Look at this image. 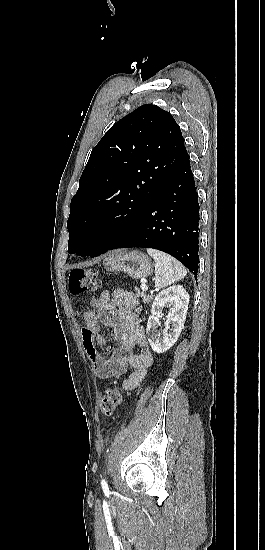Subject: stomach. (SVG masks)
Wrapping results in <instances>:
<instances>
[{
	"label": "stomach",
	"instance_id": "1",
	"mask_svg": "<svg viewBox=\"0 0 265 550\" xmlns=\"http://www.w3.org/2000/svg\"><path fill=\"white\" fill-rule=\"evenodd\" d=\"M103 265L107 271H121L134 279L148 277L153 272L151 259L140 251H113L104 259Z\"/></svg>",
	"mask_w": 265,
	"mask_h": 550
}]
</instances>
